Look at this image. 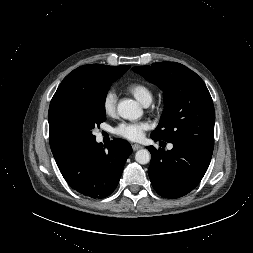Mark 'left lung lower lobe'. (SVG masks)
Instances as JSON below:
<instances>
[{"label": "left lung lower lobe", "instance_id": "0a47b994", "mask_svg": "<svg viewBox=\"0 0 253 253\" xmlns=\"http://www.w3.org/2000/svg\"><path fill=\"white\" fill-rule=\"evenodd\" d=\"M173 145V149L167 151L147 147L151 153L149 177L152 186L165 198H179L192 191L206 173L213 153L196 144Z\"/></svg>", "mask_w": 253, "mask_h": 253}]
</instances>
